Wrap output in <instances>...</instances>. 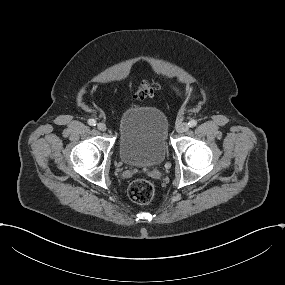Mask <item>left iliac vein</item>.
I'll return each instance as SVG.
<instances>
[{
    "instance_id": "1",
    "label": "left iliac vein",
    "mask_w": 285,
    "mask_h": 285,
    "mask_svg": "<svg viewBox=\"0 0 285 285\" xmlns=\"http://www.w3.org/2000/svg\"><path fill=\"white\" fill-rule=\"evenodd\" d=\"M188 130H189V125H188V123H182V124H180V125L177 127L178 133H184V132H186V131H188Z\"/></svg>"
}]
</instances>
